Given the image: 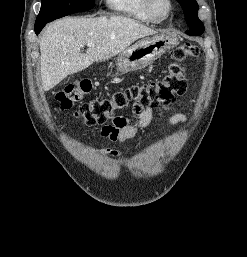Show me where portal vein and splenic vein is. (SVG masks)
Returning <instances> with one entry per match:
<instances>
[{
	"instance_id": "18ae733b",
	"label": "portal vein and splenic vein",
	"mask_w": 247,
	"mask_h": 257,
	"mask_svg": "<svg viewBox=\"0 0 247 257\" xmlns=\"http://www.w3.org/2000/svg\"><path fill=\"white\" fill-rule=\"evenodd\" d=\"M94 45H95L94 43H88V44H87L88 47H92V46H94Z\"/></svg>"
}]
</instances>
